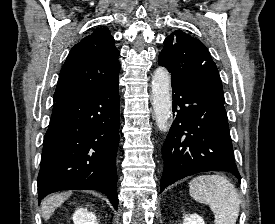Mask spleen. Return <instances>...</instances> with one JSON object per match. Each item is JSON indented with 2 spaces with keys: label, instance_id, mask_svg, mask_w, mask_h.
I'll return each mask as SVG.
<instances>
[{
  "label": "spleen",
  "instance_id": "3e777b00",
  "mask_svg": "<svg viewBox=\"0 0 275 224\" xmlns=\"http://www.w3.org/2000/svg\"><path fill=\"white\" fill-rule=\"evenodd\" d=\"M190 196L208 204L214 214V224H236L240 198L235 186L220 175H200L189 183Z\"/></svg>",
  "mask_w": 275,
  "mask_h": 224
}]
</instances>
